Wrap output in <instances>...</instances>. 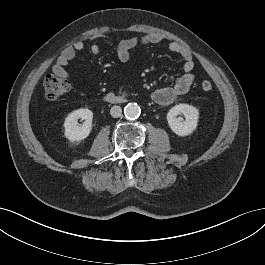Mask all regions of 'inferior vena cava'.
I'll return each instance as SVG.
<instances>
[{"label":"inferior vena cava","mask_w":265,"mask_h":265,"mask_svg":"<svg viewBox=\"0 0 265 265\" xmlns=\"http://www.w3.org/2000/svg\"><path fill=\"white\" fill-rule=\"evenodd\" d=\"M110 114L114 118H118L122 114V109L120 106H113L110 110Z\"/></svg>","instance_id":"inferior-vena-cava-1"}]
</instances>
